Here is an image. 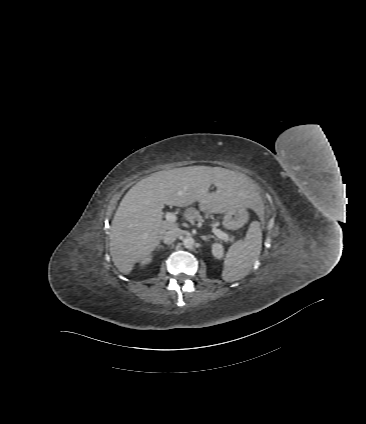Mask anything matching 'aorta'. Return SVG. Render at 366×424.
<instances>
[{
	"instance_id": "1",
	"label": "aorta",
	"mask_w": 366,
	"mask_h": 424,
	"mask_svg": "<svg viewBox=\"0 0 366 424\" xmlns=\"http://www.w3.org/2000/svg\"><path fill=\"white\" fill-rule=\"evenodd\" d=\"M183 245L187 249H192L195 246V241L191 236H187L183 239Z\"/></svg>"
}]
</instances>
